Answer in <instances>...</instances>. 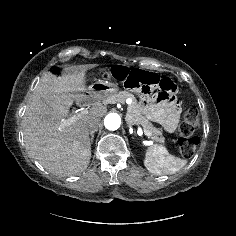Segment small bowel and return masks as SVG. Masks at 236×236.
I'll list each match as a JSON object with an SVG mask.
<instances>
[{"label":"small bowel","instance_id":"obj_1","mask_svg":"<svg viewBox=\"0 0 236 236\" xmlns=\"http://www.w3.org/2000/svg\"><path fill=\"white\" fill-rule=\"evenodd\" d=\"M143 105L151 120L159 123L169 133L175 131L180 110L173 100L161 98L155 101H145Z\"/></svg>","mask_w":236,"mask_h":236}]
</instances>
